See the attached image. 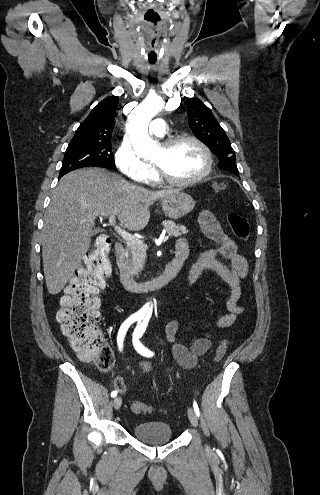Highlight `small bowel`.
<instances>
[{
	"instance_id": "c3829d8e",
	"label": "small bowel",
	"mask_w": 320,
	"mask_h": 495,
	"mask_svg": "<svg viewBox=\"0 0 320 495\" xmlns=\"http://www.w3.org/2000/svg\"><path fill=\"white\" fill-rule=\"evenodd\" d=\"M199 221L204 235L215 246L204 251L199 260L192 266L187 284L188 287L193 286L203 271L211 270L216 272L229 285L231 291L226 303L228 313L220 316L214 323L217 328H228L234 324L237 316L243 311L242 306L238 304V300L242 294L241 280L248 273L247 260L238 252L236 243L225 233L212 213L209 211L202 212ZM176 248L188 251L187 240L185 238L179 239ZM220 259L226 260L227 263ZM179 327L178 319L169 321L164 327V336L171 344L172 353L177 363L185 369H192L196 366L199 357L210 350L212 340L210 334L205 333L203 336L191 335L188 338L187 345L176 343L175 339L179 332ZM141 368L146 373L153 370L152 364L147 360L141 362ZM170 370L172 368H167V371Z\"/></svg>"
}]
</instances>
